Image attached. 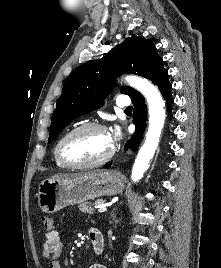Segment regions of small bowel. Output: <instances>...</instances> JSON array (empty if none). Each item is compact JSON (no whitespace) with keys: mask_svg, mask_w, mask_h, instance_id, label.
Returning <instances> with one entry per match:
<instances>
[{"mask_svg":"<svg viewBox=\"0 0 221 268\" xmlns=\"http://www.w3.org/2000/svg\"><path fill=\"white\" fill-rule=\"evenodd\" d=\"M92 230V229H91ZM91 232V231H90ZM63 243L56 229L47 230L42 244V254L47 260L48 268H61L60 255ZM89 268H107L101 264H92Z\"/></svg>","mask_w":221,"mask_h":268,"instance_id":"c3829d8e","label":"small bowel"}]
</instances>
